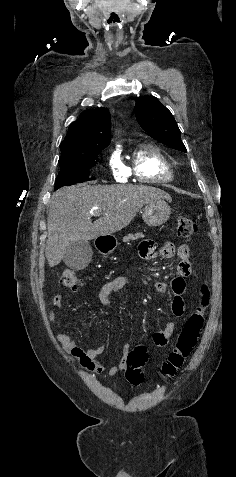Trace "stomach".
Returning <instances> with one entry per match:
<instances>
[{
	"label": "stomach",
	"instance_id": "0dacf381",
	"mask_svg": "<svg viewBox=\"0 0 236 477\" xmlns=\"http://www.w3.org/2000/svg\"><path fill=\"white\" fill-rule=\"evenodd\" d=\"M170 213V206L161 199L147 203L142 209V218L148 226H160L168 220ZM110 239L108 245L100 248L104 255L111 254L117 246L116 240L114 238Z\"/></svg>",
	"mask_w": 236,
	"mask_h": 477
}]
</instances>
